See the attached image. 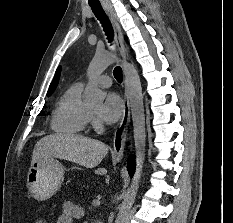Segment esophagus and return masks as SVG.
Listing matches in <instances>:
<instances>
[{
  "mask_svg": "<svg viewBox=\"0 0 233 223\" xmlns=\"http://www.w3.org/2000/svg\"><path fill=\"white\" fill-rule=\"evenodd\" d=\"M102 6L107 13V16L109 17V20L111 22V25L113 27L114 33H115V40L118 46V49L121 53V56L124 60L127 59V52L124 44V38L122 34V30L120 28L119 23L117 22V19L113 13V10L111 9L108 1L101 0ZM129 88L127 84L126 78H124V111L122 119L118 125V128L115 131L114 134V141H113V158L115 159H122L124 154V147H125V141H126V135L128 131V125L130 123V101H129Z\"/></svg>",
  "mask_w": 233,
  "mask_h": 223,
  "instance_id": "34e87169",
  "label": "esophagus"
}]
</instances>
